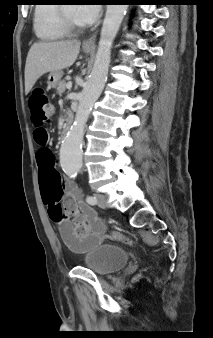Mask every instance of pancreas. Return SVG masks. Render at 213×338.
<instances>
[{"mask_svg":"<svg viewBox=\"0 0 213 338\" xmlns=\"http://www.w3.org/2000/svg\"><path fill=\"white\" fill-rule=\"evenodd\" d=\"M65 90H66V81L62 80L58 83L57 94L61 96L65 92Z\"/></svg>","mask_w":213,"mask_h":338,"instance_id":"1","label":"pancreas"}]
</instances>
